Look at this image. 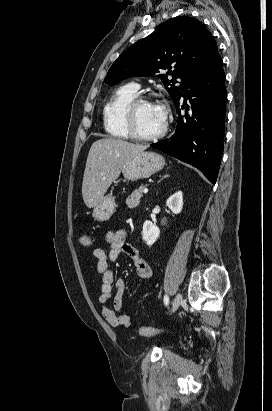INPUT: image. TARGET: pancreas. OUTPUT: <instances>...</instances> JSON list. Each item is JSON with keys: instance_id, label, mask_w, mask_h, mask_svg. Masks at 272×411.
I'll use <instances>...</instances> for the list:
<instances>
[{"instance_id": "obj_1", "label": "pancreas", "mask_w": 272, "mask_h": 411, "mask_svg": "<svg viewBox=\"0 0 272 411\" xmlns=\"http://www.w3.org/2000/svg\"><path fill=\"white\" fill-rule=\"evenodd\" d=\"M144 186L141 185L137 190H135L131 195L126 199V204L128 208H136L140 204V199L142 197V191Z\"/></svg>"}]
</instances>
